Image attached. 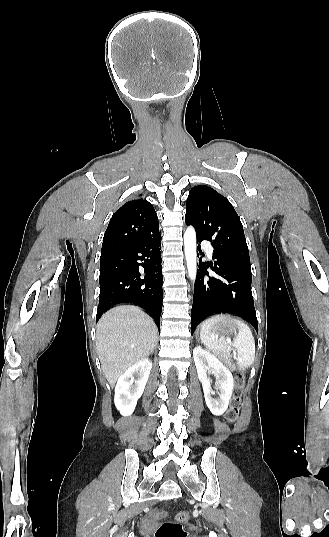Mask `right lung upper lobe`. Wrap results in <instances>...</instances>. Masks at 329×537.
Instances as JSON below:
<instances>
[{
	"instance_id": "1",
	"label": "right lung upper lobe",
	"mask_w": 329,
	"mask_h": 537,
	"mask_svg": "<svg viewBox=\"0 0 329 537\" xmlns=\"http://www.w3.org/2000/svg\"><path fill=\"white\" fill-rule=\"evenodd\" d=\"M158 231V217L152 204L143 199H133L112 216L104 234L101 253L131 247Z\"/></svg>"
}]
</instances>
